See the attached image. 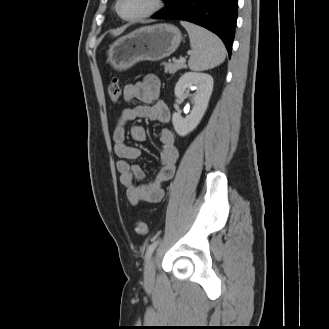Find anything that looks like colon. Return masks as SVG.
Returning <instances> with one entry per match:
<instances>
[{"instance_id": "obj_1", "label": "colon", "mask_w": 329, "mask_h": 329, "mask_svg": "<svg viewBox=\"0 0 329 329\" xmlns=\"http://www.w3.org/2000/svg\"><path fill=\"white\" fill-rule=\"evenodd\" d=\"M107 92L111 102L114 104L118 103L121 95V88L118 78L113 77L110 80L107 86ZM135 232L141 236L146 235L148 232L147 224L142 220H138L135 224Z\"/></svg>"}]
</instances>
